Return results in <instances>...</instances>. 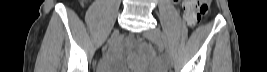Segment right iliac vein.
<instances>
[{"instance_id": "63e3f726", "label": "right iliac vein", "mask_w": 267, "mask_h": 72, "mask_svg": "<svg viewBox=\"0 0 267 72\" xmlns=\"http://www.w3.org/2000/svg\"><path fill=\"white\" fill-rule=\"evenodd\" d=\"M118 35V31H116L110 38L109 43L112 44L115 41L116 36Z\"/></svg>"}]
</instances>
